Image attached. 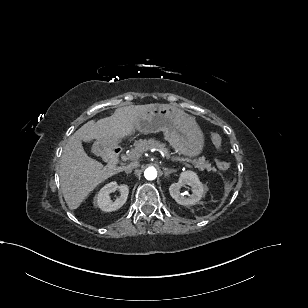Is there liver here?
I'll return each mask as SVG.
<instances>
[{
  "instance_id": "liver-1",
  "label": "liver",
  "mask_w": 308,
  "mask_h": 308,
  "mask_svg": "<svg viewBox=\"0 0 308 308\" xmlns=\"http://www.w3.org/2000/svg\"><path fill=\"white\" fill-rule=\"evenodd\" d=\"M157 105L120 107L110 117L88 121L69 138L61 156L59 176L64 199L71 210L78 208L101 182L126 169L110 164L103 166L87 155L82 141L105 140L110 146L113 139L131 136L138 116Z\"/></svg>"
}]
</instances>
